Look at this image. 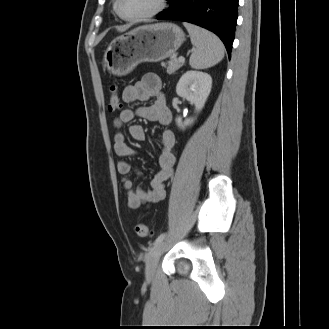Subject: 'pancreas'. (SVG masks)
I'll return each mask as SVG.
<instances>
[{
  "label": "pancreas",
  "mask_w": 329,
  "mask_h": 329,
  "mask_svg": "<svg viewBox=\"0 0 329 329\" xmlns=\"http://www.w3.org/2000/svg\"><path fill=\"white\" fill-rule=\"evenodd\" d=\"M183 64H184V62H180L177 58H172L170 61H168L166 64H164V67H166L168 74H172L176 70L181 68L183 66Z\"/></svg>",
  "instance_id": "1"
}]
</instances>
